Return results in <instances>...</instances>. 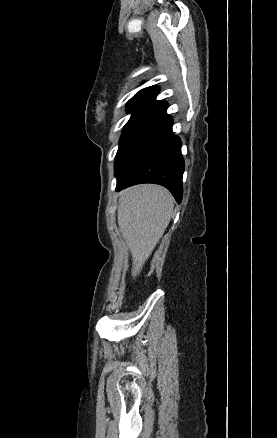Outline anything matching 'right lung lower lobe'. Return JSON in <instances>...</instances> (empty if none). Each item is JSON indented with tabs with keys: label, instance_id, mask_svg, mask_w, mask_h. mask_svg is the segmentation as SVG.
<instances>
[{
	"label": "right lung lower lobe",
	"instance_id": "98d812e1",
	"mask_svg": "<svg viewBox=\"0 0 277 438\" xmlns=\"http://www.w3.org/2000/svg\"><path fill=\"white\" fill-rule=\"evenodd\" d=\"M172 118L168 115L164 123L117 181L116 191L140 183H155L165 186L178 203L182 200V176L184 160L181 141L172 132Z\"/></svg>",
	"mask_w": 277,
	"mask_h": 438
}]
</instances>
